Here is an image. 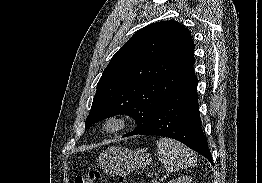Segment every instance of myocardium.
Instances as JSON below:
<instances>
[{"label": "myocardium", "instance_id": "myocardium-1", "mask_svg": "<svg viewBox=\"0 0 262 183\" xmlns=\"http://www.w3.org/2000/svg\"><path fill=\"white\" fill-rule=\"evenodd\" d=\"M132 122V117L128 113H111L105 116L101 121V128L107 134H116L126 128Z\"/></svg>", "mask_w": 262, "mask_h": 183}]
</instances>
